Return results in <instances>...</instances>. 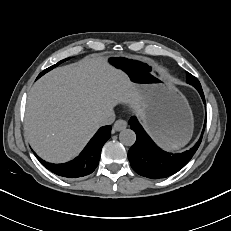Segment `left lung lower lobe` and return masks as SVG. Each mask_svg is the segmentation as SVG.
I'll return each mask as SVG.
<instances>
[{
    "mask_svg": "<svg viewBox=\"0 0 231 231\" xmlns=\"http://www.w3.org/2000/svg\"><path fill=\"white\" fill-rule=\"evenodd\" d=\"M197 90L205 103L202 89ZM129 124L136 133V142L128 152L131 167L139 175L159 179L175 174L190 161L201 143L206 121L198 142L190 150L178 154L161 150L144 131L136 117H131Z\"/></svg>",
    "mask_w": 231,
    "mask_h": 231,
    "instance_id": "1",
    "label": "left lung lower lobe"
}]
</instances>
